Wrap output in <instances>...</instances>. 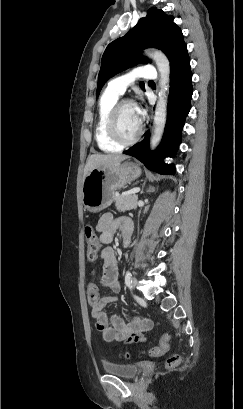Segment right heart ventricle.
Listing matches in <instances>:
<instances>
[{"label": "right heart ventricle", "instance_id": "1", "mask_svg": "<svg viewBox=\"0 0 243 409\" xmlns=\"http://www.w3.org/2000/svg\"><path fill=\"white\" fill-rule=\"evenodd\" d=\"M119 95L106 89L99 101L98 120L95 126V140L103 152H118L121 146L116 144L108 135L107 119L110 111L119 100Z\"/></svg>", "mask_w": 243, "mask_h": 409}]
</instances>
